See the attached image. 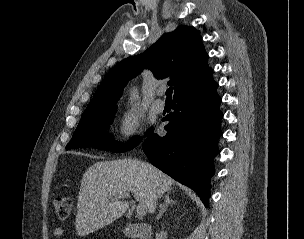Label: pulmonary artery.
<instances>
[{"instance_id":"obj_1","label":"pulmonary artery","mask_w":304,"mask_h":239,"mask_svg":"<svg viewBox=\"0 0 304 239\" xmlns=\"http://www.w3.org/2000/svg\"><path fill=\"white\" fill-rule=\"evenodd\" d=\"M163 90L158 91V95L161 96L163 94ZM154 108L157 112H162L165 108V102L162 99H156L154 102Z\"/></svg>"}]
</instances>
